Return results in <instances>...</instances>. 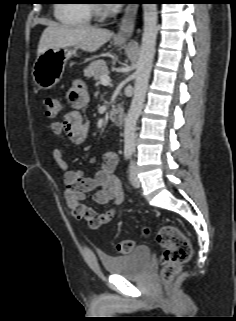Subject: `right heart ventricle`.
I'll return each mask as SVG.
<instances>
[{"mask_svg":"<svg viewBox=\"0 0 236 321\" xmlns=\"http://www.w3.org/2000/svg\"><path fill=\"white\" fill-rule=\"evenodd\" d=\"M89 0H63L55 6L57 21L68 26H83L91 22L92 10Z\"/></svg>","mask_w":236,"mask_h":321,"instance_id":"e07e8e85","label":"right heart ventricle"}]
</instances>
